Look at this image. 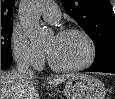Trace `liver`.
I'll list each match as a JSON object with an SVG mask.
<instances>
[{"mask_svg": "<svg viewBox=\"0 0 115 99\" xmlns=\"http://www.w3.org/2000/svg\"><path fill=\"white\" fill-rule=\"evenodd\" d=\"M73 76H58L53 80L49 79L48 84H61ZM35 85L36 81L32 78L22 82L16 72L1 71V99H39Z\"/></svg>", "mask_w": 115, "mask_h": 99, "instance_id": "liver-1", "label": "liver"}]
</instances>
